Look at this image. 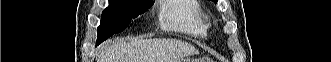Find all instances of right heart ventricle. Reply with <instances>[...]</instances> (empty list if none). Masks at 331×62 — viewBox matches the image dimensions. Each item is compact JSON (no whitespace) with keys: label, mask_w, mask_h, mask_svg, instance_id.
I'll return each instance as SVG.
<instances>
[{"label":"right heart ventricle","mask_w":331,"mask_h":62,"mask_svg":"<svg viewBox=\"0 0 331 62\" xmlns=\"http://www.w3.org/2000/svg\"><path fill=\"white\" fill-rule=\"evenodd\" d=\"M161 24L168 30L205 37L210 27L203 5L196 0H167L161 8Z\"/></svg>","instance_id":"obj_1"}]
</instances>
